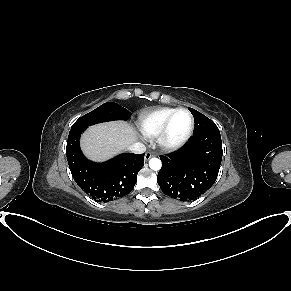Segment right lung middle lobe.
Wrapping results in <instances>:
<instances>
[{
    "label": "right lung middle lobe",
    "instance_id": "right-lung-middle-lobe-1",
    "mask_svg": "<svg viewBox=\"0 0 291 291\" xmlns=\"http://www.w3.org/2000/svg\"><path fill=\"white\" fill-rule=\"evenodd\" d=\"M131 113L114 102H107L95 110L80 117L71 127V130L84 129L90 125L112 120H127Z\"/></svg>",
    "mask_w": 291,
    "mask_h": 291
}]
</instances>
